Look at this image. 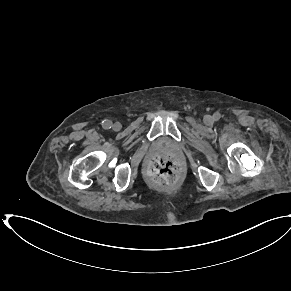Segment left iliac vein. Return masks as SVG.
Here are the masks:
<instances>
[{"label": "left iliac vein", "mask_w": 291, "mask_h": 291, "mask_svg": "<svg viewBox=\"0 0 291 291\" xmlns=\"http://www.w3.org/2000/svg\"><path fill=\"white\" fill-rule=\"evenodd\" d=\"M204 121L207 123V124H210L212 121H213V118L210 116V115H206L204 117Z\"/></svg>", "instance_id": "1"}]
</instances>
